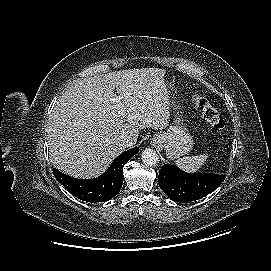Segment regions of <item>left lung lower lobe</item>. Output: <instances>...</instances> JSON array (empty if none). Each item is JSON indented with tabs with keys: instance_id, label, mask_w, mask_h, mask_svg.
Here are the masks:
<instances>
[{
	"instance_id": "left-lung-lower-lobe-1",
	"label": "left lung lower lobe",
	"mask_w": 271,
	"mask_h": 271,
	"mask_svg": "<svg viewBox=\"0 0 271 271\" xmlns=\"http://www.w3.org/2000/svg\"><path fill=\"white\" fill-rule=\"evenodd\" d=\"M225 175L210 173L188 174L174 165H163L159 171L160 188L173 201L188 203L212 193Z\"/></svg>"
}]
</instances>
